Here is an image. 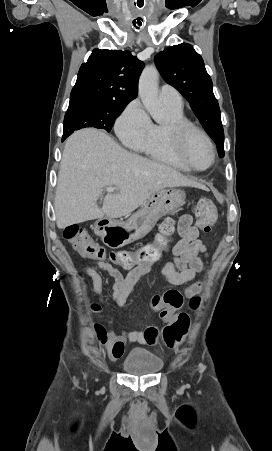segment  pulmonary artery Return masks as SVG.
I'll return each instance as SVG.
<instances>
[{
    "mask_svg": "<svg viewBox=\"0 0 272 451\" xmlns=\"http://www.w3.org/2000/svg\"><path fill=\"white\" fill-rule=\"evenodd\" d=\"M160 99L178 111H181L183 108V99L181 95L178 91L168 85H164L160 88Z\"/></svg>",
    "mask_w": 272,
    "mask_h": 451,
    "instance_id": "obj_1",
    "label": "pulmonary artery"
}]
</instances>
